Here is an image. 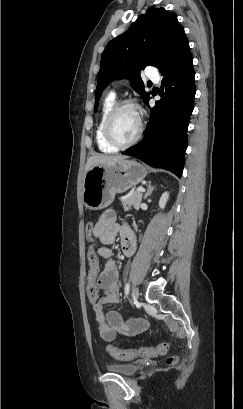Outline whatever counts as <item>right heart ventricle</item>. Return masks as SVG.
I'll list each match as a JSON object with an SVG mask.
<instances>
[{"mask_svg":"<svg viewBox=\"0 0 243 409\" xmlns=\"http://www.w3.org/2000/svg\"><path fill=\"white\" fill-rule=\"evenodd\" d=\"M114 103H115V95L114 93H110L103 102L100 119L96 127V132H95L96 143H97L98 149L103 153H114L118 151V148L109 144L104 136V122H105V119L109 111L114 106Z\"/></svg>","mask_w":243,"mask_h":409,"instance_id":"e07e8e85","label":"right heart ventricle"}]
</instances>
